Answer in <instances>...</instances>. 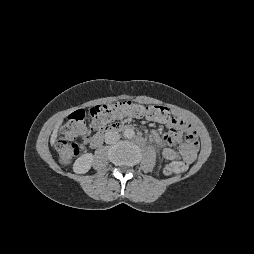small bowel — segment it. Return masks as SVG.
Here are the masks:
<instances>
[{"instance_id":"small-bowel-1","label":"small bowel","mask_w":254,"mask_h":254,"mask_svg":"<svg viewBox=\"0 0 254 254\" xmlns=\"http://www.w3.org/2000/svg\"><path fill=\"white\" fill-rule=\"evenodd\" d=\"M156 121L167 129L164 134L157 131L151 132L153 140L162 150L164 159L182 158L186 163H192L197 156L198 137L190 121L181 116H172L169 112L166 118ZM172 144L179 146V152L170 147Z\"/></svg>"}]
</instances>
